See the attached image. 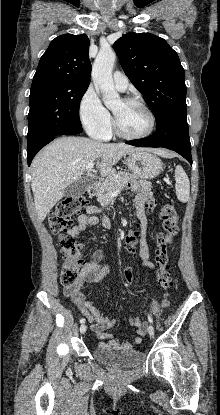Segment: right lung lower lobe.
<instances>
[{
	"mask_svg": "<svg viewBox=\"0 0 220 415\" xmlns=\"http://www.w3.org/2000/svg\"><path fill=\"white\" fill-rule=\"evenodd\" d=\"M82 131H83V129H82ZM82 131H78V133H81ZM78 133H75V134H78ZM54 138H55V136H47V137L43 138L42 140H40L32 149L27 150V162H28L29 166H30L34 156L37 154V152L42 147H44L46 144L51 142Z\"/></svg>",
	"mask_w": 220,
	"mask_h": 415,
	"instance_id": "right-lung-lower-lobe-1",
	"label": "right lung lower lobe"
}]
</instances>
